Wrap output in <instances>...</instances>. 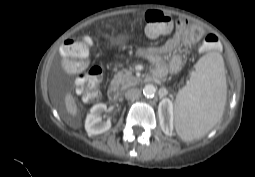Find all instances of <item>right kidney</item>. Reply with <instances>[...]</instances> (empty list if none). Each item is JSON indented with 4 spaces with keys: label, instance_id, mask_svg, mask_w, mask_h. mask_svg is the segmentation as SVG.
I'll return each instance as SVG.
<instances>
[{
    "label": "right kidney",
    "instance_id": "obj_1",
    "mask_svg": "<svg viewBox=\"0 0 255 177\" xmlns=\"http://www.w3.org/2000/svg\"><path fill=\"white\" fill-rule=\"evenodd\" d=\"M104 103L94 105L85 120V130L89 135H98L111 128V120L102 121L101 114L106 111Z\"/></svg>",
    "mask_w": 255,
    "mask_h": 177
}]
</instances>
